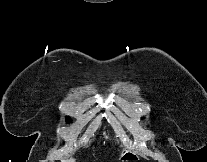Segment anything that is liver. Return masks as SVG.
<instances>
[{
	"label": "liver",
	"instance_id": "obj_1",
	"mask_svg": "<svg viewBox=\"0 0 207 162\" xmlns=\"http://www.w3.org/2000/svg\"><path fill=\"white\" fill-rule=\"evenodd\" d=\"M65 162H76V159L70 158L69 160H66Z\"/></svg>",
	"mask_w": 207,
	"mask_h": 162
}]
</instances>
